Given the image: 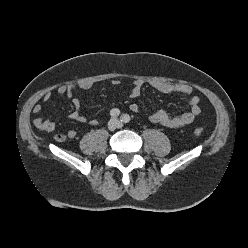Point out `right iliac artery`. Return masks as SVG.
Listing matches in <instances>:
<instances>
[{"label": "right iliac artery", "mask_w": 248, "mask_h": 248, "mask_svg": "<svg viewBox=\"0 0 248 248\" xmlns=\"http://www.w3.org/2000/svg\"><path fill=\"white\" fill-rule=\"evenodd\" d=\"M110 115H111L112 117H118V116L120 115V110L117 109V108H114V109H112V110L110 111Z\"/></svg>", "instance_id": "1"}]
</instances>
